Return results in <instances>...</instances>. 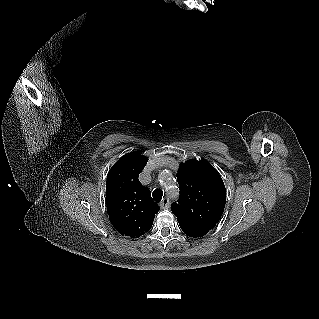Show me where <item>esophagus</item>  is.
<instances>
[{"mask_svg":"<svg viewBox=\"0 0 319 319\" xmlns=\"http://www.w3.org/2000/svg\"><path fill=\"white\" fill-rule=\"evenodd\" d=\"M169 206H170L169 199L167 197H164L160 203L161 209H168Z\"/></svg>","mask_w":319,"mask_h":319,"instance_id":"34e87169","label":"esophagus"}]
</instances>
